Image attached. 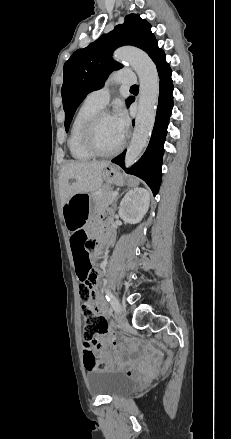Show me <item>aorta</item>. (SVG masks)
Returning a JSON list of instances; mask_svg holds the SVG:
<instances>
[{
	"mask_svg": "<svg viewBox=\"0 0 231 439\" xmlns=\"http://www.w3.org/2000/svg\"><path fill=\"white\" fill-rule=\"evenodd\" d=\"M115 58L127 62L136 71L140 81L135 128L125 155V166L131 167L140 158L151 136L159 100L160 80L154 62L139 49L119 48L115 52Z\"/></svg>",
	"mask_w": 231,
	"mask_h": 439,
	"instance_id": "obj_1",
	"label": "aorta"
}]
</instances>
